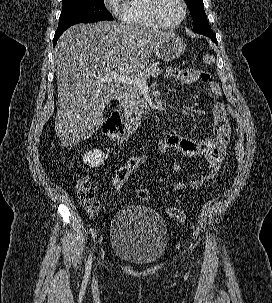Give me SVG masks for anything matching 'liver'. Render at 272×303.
I'll use <instances>...</instances> for the list:
<instances>
[{
  "label": "liver",
  "instance_id": "obj_1",
  "mask_svg": "<svg viewBox=\"0 0 272 303\" xmlns=\"http://www.w3.org/2000/svg\"><path fill=\"white\" fill-rule=\"evenodd\" d=\"M170 33L102 21L77 24L59 38L54 59L57 78L55 131L65 147L79 144L103 124L105 107L116 95L110 74L143 70Z\"/></svg>",
  "mask_w": 272,
  "mask_h": 303
}]
</instances>
